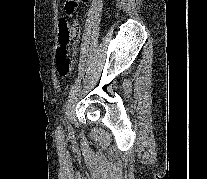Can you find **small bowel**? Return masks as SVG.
Returning <instances> with one entry per match:
<instances>
[{
  "label": "small bowel",
  "mask_w": 207,
  "mask_h": 179,
  "mask_svg": "<svg viewBox=\"0 0 207 179\" xmlns=\"http://www.w3.org/2000/svg\"><path fill=\"white\" fill-rule=\"evenodd\" d=\"M79 2H80V0H79ZM67 14L70 15V16L73 15V13H67ZM62 21H65V20H60L59 24H60Z\"/></svg>",
  "instance_id": "obj_1"
}]
</instances>
